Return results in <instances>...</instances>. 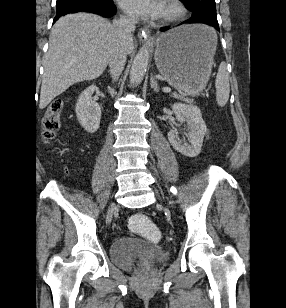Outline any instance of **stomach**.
<instances>
[{
  "label": "stomach",
  "instance_id": "obj_1",
  "mask_svg": "<svg viewBox=\"0 0 286 308\" xmlns=\"http://www.w3.org/2000/svg\"><path fill=\"white\" fill-rule=\"evenodd\" d=\"M216 47L211 27L182 25L157 38L155 63L170 85L196 95L209 80Z\"/></svg>",
  "mask_w": 286,
  "mask_h": 308
}]
</instances>
